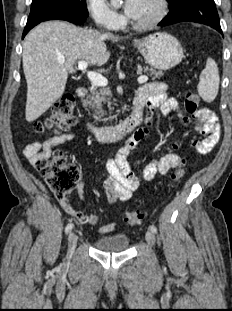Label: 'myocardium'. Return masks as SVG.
Returning <instances> with one entry per match:
<instances>
[{"label":"myocardium","instance_id":"1","mask_svg":"<svg viewBox=\"0 0 232 311\" xmlns=\"http://www.w3.org/2000/svg\"><path fill=\"white\" fill-rule=\"evenodd\" d=\"M157 9L152 18L146 22L137 23L132 20L129 21L130 26L139 31H147L156 27L167 14V1L166 0H155Z\"/></svg>","mask_w":232,"mask_h":311}]
</instances>
